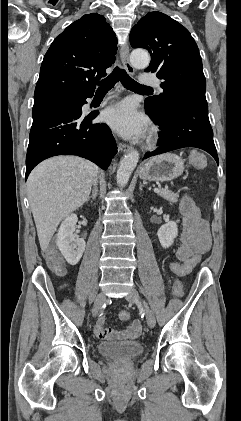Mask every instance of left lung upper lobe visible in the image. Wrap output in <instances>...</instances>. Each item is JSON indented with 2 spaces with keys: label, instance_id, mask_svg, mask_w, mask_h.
I'll return each instance as SVG.
<instances>
[{
  "label": "left lung upper lobe",
  "instance_id": "5c2ea615",
  "mask_svg": "<svg viewBox=\"0 0 241 421\" xmlns=\"http://www.w3.org/2000/svg\"><path fill=\"white\" fill-rule=\"evenodd\" d=\"M130 44L145 48L151 62L146 72L162 80L163 93L145 100V107L166 115L191 94L205 96L206 81L196 42L180 23L161 12H149L132 28Z\"/></svg>",
  "mask_w": 241,
  "mask_h": 421
}]
</instances>
